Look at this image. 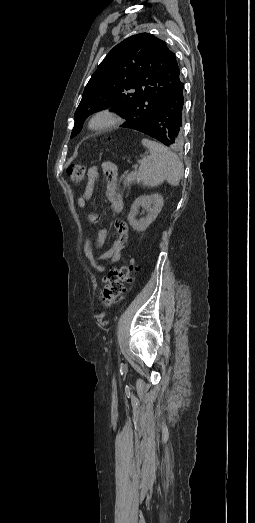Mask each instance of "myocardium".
Returning a JSON list of instances; mask_svg holds the SVG:
<instances>
[{"mask_svg": "<svg viewBox=\"0 0 255 523\" xmlns=\"http://www.w3.org/2000/svg\"><path fill=\"white\" fill-rule=\"evenodd\" d=\"M122 118L109 110H100L93 113L87 121V129L94 133H104L118 127Z\"/></svg>", "mask_w": 255, "mask_h": 523, "instance_id": "myocardium-1", "label": "myocardium"}]
</instances>
